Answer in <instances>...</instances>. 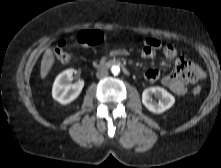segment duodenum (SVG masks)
I'll return each mask as SVG.
<instances>
[{"mask_svg": "<svg viewBox=\"0 0 221 168\" xmlns=\"http://www.w3.org/2000/svg\"><path fill=\"white\" fill-rule=\"evenodd\" d=\"M93 65L97 69H107L112 66H120L126 74H129L128 68L119 60H95Z\"/></svg>", "mask_w": 221, "mask_h": 168, "instance_id": "410a0bca", "label": "duodenum"}]
</instances>
